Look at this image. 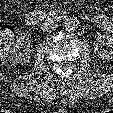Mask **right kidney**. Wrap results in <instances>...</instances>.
I'll return each instance as SVG.
<instances>
[{"label": "right kidney", "instance_id": "ca27d5eb", "mask_svg": "<svg viewBox=\"0 0 113 113\" xmlns=\"http://www.w3.org/2000/svg\"><path fill=\"white\" fill-rule=\"evenodd\" d=\"M31 43L29 35L20 34L9 50V61L13 64L27 63L31 57Z\"/></svg>", "mask_w": 113, "mask_h": 113}]
</instances>
